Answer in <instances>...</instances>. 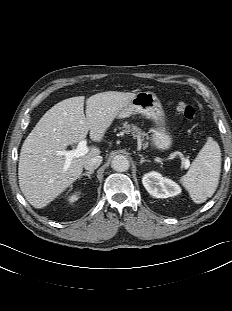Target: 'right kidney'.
I'll list each match as a JSON object with an SVG mask.
<instances>
[{
	"mask_svg": "<svg viewBox=\"0 0 232 311\" xmlns=\"http://www.w3.org/2000/svg\"><path fill=\"white\" fill-rule=\"evenodd\" d=\"M78 193H79V192H76V193L72 194L71 196H69V197H68V201H69L70 203L75 202V201L78 199Z\"/></svg>",
	"mask_w": 232,
	"mask_h": 311,
	"instance_id": "obj_1",
	"label": "right kidney"
}]
</instances>
